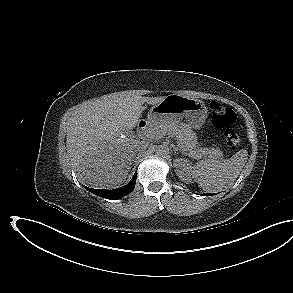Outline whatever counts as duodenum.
Segmentation results:
<instances>
[{"label":"duodenum","instance_id":"410a0bca","mask_svg":"<svg viewBox=\"0 0 293 293\" xmlns=\"http://www.w3.org/2000/svg\"><path fill=\"white\" fill-rule=\"evenodd\" d=\"M148 127H149V123L147 121L145 120L140 121L137 128L138 134L142 136L147 131Z\"/></svg>","mask_w":293,"mask_h":293}]
</instances>
